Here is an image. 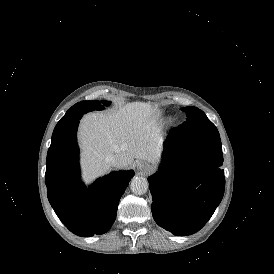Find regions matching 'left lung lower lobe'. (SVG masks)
I'll return each mask as SVG.
<instances>
[{
  "label": "left lung lower lobe",
  "instance_id": "0a47b994",
  "mask_svg": "<svg viewBox=\"0 0 274 274\" xmlns=\"http://www.w3.org/2000/svg\"><path fill=\"white\" fill-rule=\"evenodd\" d=\"M222 163L219 133L172 128L160 169L148 178L155 222L177 236L199 231L222 200Z\"/></svg>",
  "mask_w": 274,
  "mask_h": 274
}]
</instances>
